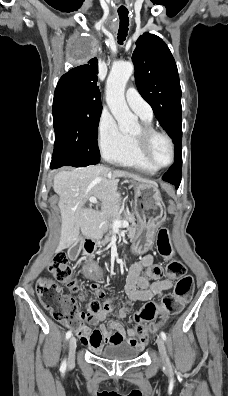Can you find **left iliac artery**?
I'll return each instance as SVG.
<instances>
[{
    "label": "left iliac artery",
    "instance_id": "44dca946",
    "mask_svg": "<svg viewBox=\"0 0 228 396\" xmlns=\"http://www.w3.org/2000/svg\"><path fill=\"white\" fill-rule=\"evenodd\" d=\"M160 335L163 340H166V333L164 331H161Z\"/></svg>",
    "mask_w": 228,
    "mask_h": 396
}]
</instances>
